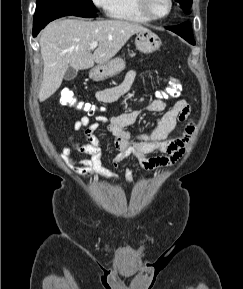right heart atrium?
Masks as SVG:
<instances>
[{
  "instance_id": "1",
  "label": "right heart atrium",
  "mask_w": 243,
  "mask_h": 289,
  "mask_svg": "<svg viewBox=\"0 0 243 289\" xmlns=\"http://www.w3.org/2000/svg\"><path fill=\"white\" fill-rule=\"evenodd\" d=\"M92 2L98 8H100V9H102L104 11H108L110 6H111L112 0H92Z\"/></svg>"
}]
</instances>
